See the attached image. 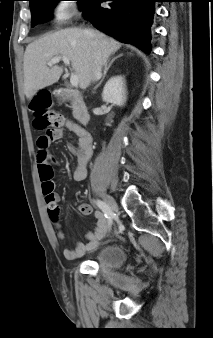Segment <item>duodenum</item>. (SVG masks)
<instances>
[{"instance_id":"obj_1","label":"duodenum","mask_w":213,"mask_h":338,"mask_svg":"<svg viewBox=\"0 0 213 338\" xmlns=\"http://www.w3.org/2000/svg\"><path fill=\"white\" fill-rule=\"evenodd\" d=\"M57 96L66 98L71 101L75 118L80 124H90L91 115L86 105L82 102L80 95L76 91L71 89H62L57 91Z\"/></svg>"}]
</instances>
